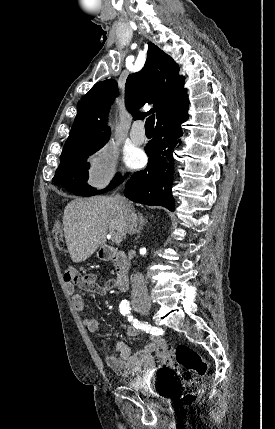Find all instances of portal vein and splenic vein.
Returning a JSON list of instances; mask_svg holds the SVG:
<instances>
[{"label":"portal vein and splenic vein","instance_id":"portal-vein-and-splenic-vein-1","mask_svg":"<svg viewBox=\"0 0 275 429\" xmlns=\"http://www.w3.org/2000/svg\"><path fill=\"white\" fill-rule=\"evenodd\" d=\"M110 237L117 244H119L121 242V240H122V237L119 234H111Z\"/></svg>","mask_w":275,"mask_h":429}]
</instances>
